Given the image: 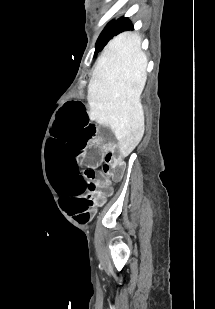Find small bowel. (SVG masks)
Returning <instances> with one entry per match:
<instances>
[{
  "label": "small bowel",
  "instance_id": "obj_1",
  "mask_svg": "<svg viewBox=\"0 0 215 309\" xmlns=\"http://www.w3.org/2000/svg\"><path fill=\"white\" fill-rule=\"evenodd\" d=\"M98 191L96 192L95 202L97 205L104 203L107 196L112 194V188L107 184L105 180L97 181Z\"/></svg>",
  "mask_w": 215,
  "mask_h": 309
}]
</instances>
